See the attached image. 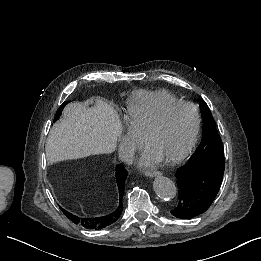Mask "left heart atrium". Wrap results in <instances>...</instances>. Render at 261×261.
Segmentation results:
<instances>
[{
	"label": "left heart atrium",
	"instance_id": "left-heart-atrium-1",
	"mask_svg": "<svg viewBox=\"0 0 261 261\" xmlns=\"http://www.w3.org/2000/svg\"><path fill=\"white\" fill-rule=\"evenodd\" d=\"M140 144L144 148V152L141 158L142 164H150L158 159V157L140 140Z\"/></svg>",
	"mask_w": 261,
	"mask_h": 261
}]
</instances>
